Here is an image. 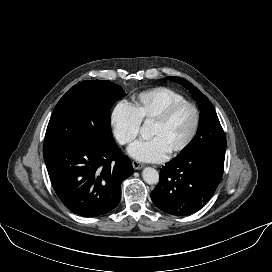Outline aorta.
Instances as JSON below:
<instances>
[{
    "mask_svg": "<svg viewBox=\"0 0 272 272\" xmlns=\"http://www.w3.org/2000/svg\"><path fill=\"white\" fill-rule=\"evenodd\" d=\"M142 136L145 137L147 135V128L146 126L142 128L141 130ZM142 176L144 181L147 184L154 185L159 182V173L157 170L151 167L144 168L142 172Z\"/></svg>",
    "mask_w": 272,
    "mask_h": 272,
    "instance_id": "762f6f07",
    "label": "aorta"
}]
</instances>
